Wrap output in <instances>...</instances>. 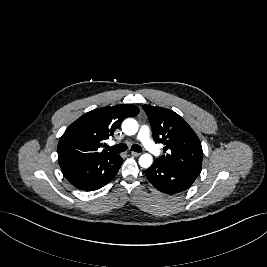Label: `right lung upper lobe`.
Segmentation results:
<instances>
[{
  "instance_id": "obj_1",
  "label": "right lung upper lobe",
  "mask_w": 267,
  "mask_h": 267,
  "mask_svg": "<svg viewBox=\"0 0 267 267\" xmlns=\"http://www.w3.org/2000/svg\"><path fill=\"white\" fill-rule=\"evenodd\" d=\"M139 109L132 104L103 107L89 111L73 122L64 132L58 144V162L60 167L85 162L88 160L114 155L105 150L103 141L127 117H134Z\"/></svg>"
}]
</instances>
